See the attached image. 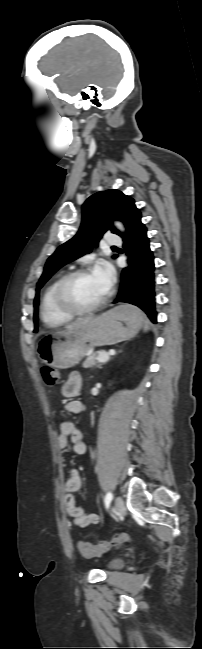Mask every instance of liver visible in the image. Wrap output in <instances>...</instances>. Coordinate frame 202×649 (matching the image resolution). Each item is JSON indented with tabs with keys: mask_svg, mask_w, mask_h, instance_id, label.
<instances>
[{
	"mask_svg": "<svg viewBox=\"0 0 202 649\" xmlns=\"http://www.w3.org/2000/svg\"><path fill=\"white\" fill-rule=\"evenodd\" d=\"M90 319H91V318H80V319H77L76 321H74V322H72V323H70V324H67V325L65 326V329H72V328L80 327V326H82L83 324L87 323Z\"/></svg>",
	"mask_w": 202,
	"mask_h": 649,
	"instance_id": "obj_1",
	"label": "liver"
}]
</instances>
